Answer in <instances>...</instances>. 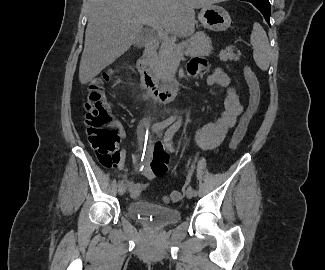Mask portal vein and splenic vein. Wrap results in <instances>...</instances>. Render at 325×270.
<instances>
[{"mask_svg":"<svg viewBox=\"0 0 325 270\" xmlns=\"http://www.w3.org/2000/svg\"><path fill=\"white\" fill-rule=\"evenodd\" d=\"M137 23H142L151 26L154 30L157 31L158 36L162 39L163 42L174 44L173 40L168 36L167 31H165L162 26L152 18L142 17L135 20Z\"/></svg>","mask_w":325,"mask_h":270,"instance_id":"obj_1","label":"portal vein and splenic vein"}]
</instances>
